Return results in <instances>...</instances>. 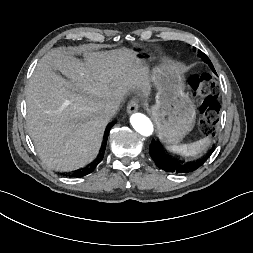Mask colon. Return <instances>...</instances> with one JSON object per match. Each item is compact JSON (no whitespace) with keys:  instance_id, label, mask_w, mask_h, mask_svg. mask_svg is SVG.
I'll list each match as a JSON object with an SVG mask.
<instances>
[{"instance_id":"colon-1","label":"colon","mask_w":253,"mask_h":253,"mask_svg":"<svg viewBox=\"0 0 253 253\" xmlns=\"http://www.w3.org/2000/svg\"><path fill=\"white\" fill-rule=\"evenodd\" d=\"M191 89L193 94L202 100L199 120L200 131L205 135H212L216 131L220 112L215 82L209 74L203 73L192 80Z\"/></svg>"}]
</instances>
